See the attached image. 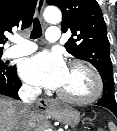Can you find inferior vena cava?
<instances>
[{
    "label": "inferior vena cava",
    "instance_id": "inferior-vena-cava-1",
    "mask_svg": "<svg viewBox=\"0 0 117 131\" xmlns=\"http://www.w3.org/2000/svg\"><path fill=\"white\" fill-rule=\"evenodd\" d=\"M39 94H41V89L39 87L23 85L20 88L18 95L21 98L19 105L22 122L20 123L17 131H26L25 119L29 116L31 104L36 100Z\"/></svg>",
    "mask_w": 117,
    "mask_h": 131
}]
</instances>
